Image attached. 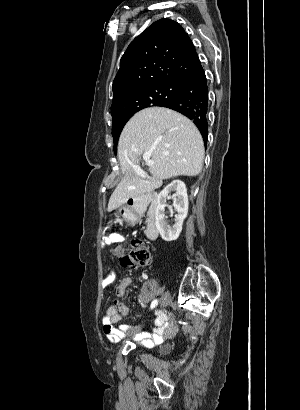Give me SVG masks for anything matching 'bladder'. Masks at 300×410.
I'll list each match as a JSON object with an SVG mask.
<instances>
[{"mask_svg":"<svg viewBox=\"0 0 300 410\" xmlns=\"http://www.w3.org/2000/svg\"><path fill=\"white\" fill-rule=\"evenodd\" d=\"M169 349V345L165 344L161 347V350H168Z\"/></svg>","mask_w":300,"mask_h":410,"instance_id":"obj_1","label":"bladder"}]
</instances>
